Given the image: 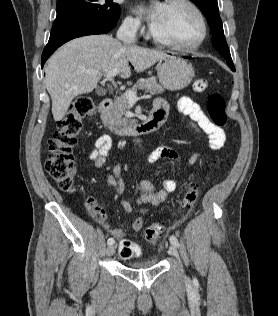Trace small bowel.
Listing matches in <instances>:
<instances>
[{
    "label": "small bowel",
    "mask_w": 278,
    "mask_h": 316,
    "mask_svg": "<svg viewBox=\"0 0 278 316\" xmlns=\"http://www.w3.org/2000/svg\"><path fill=\"white\" fill-rule=\"evenodd\" d=\"M178 110L188 118V123L191 128L198 134L204 136L212 150H220L226 141L225 132L218 126H216L203 109L192 99L183 97L178 101ZM154 109H160L164 112L165 117L168 113V104L163 99H156L154 102ZM112 146L111 137L108 135L99 136L93 145V148L89 154L90 160L94 166L101 167L104 165L110 148ZM200 155H195L191 159V164H195ZM160 160H169L174 164V173L171 177L166 178L163 181L162 188H157L152 182L148 180H142L138 187V197L136 203L139 206L146 205H159L166 200L169 193L173 192L177 186V177L182 168V160L179 153L166 146H160L155 148L148 156L147 162L150 164L156 163ZM107 182L112 185L118 192L124 190V182L122 179V170L119 165H114L112 168V174L107 176ZM122 207L126 213L132 211L131 204L128 200L122 201ZM144 212L145 209L143 208ZM100 221L104 228L114 236L121 239L124 237V231L121 228H113L105 215L100 214ZM143 218L137 217L131 224V229L134 232H139L143 227Z\"/></svg>",
    "instance_id": "obj_1"
}]
</instances>
